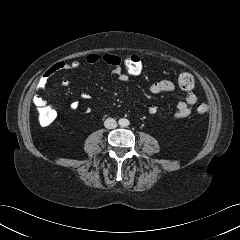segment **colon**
Returning <instances> with one entry per match:
<instances>
[{"label": "colon", "instance_id": "obj_1", "mask_svg": "<svg viewBox=\"0 0 240 240\" xmlns=\"http://www.w3.org/2000/svg\"><path fill=\"white\" fill-rule=\"evenodd\" d=\"M104 60L110 63L113 67L120 69L127 76H137L143 72L144 64L138 55H129L126 57L106 56ZM178 86L183 90H191L195 86V77L189 72H185L178 77ZM38 120L42 126H48L56 119V111L46 104H40L37 107ZM196 111L204 114L208 111L206 103H199L196 106Z\"/></svg>", "mask_w": 240, "mask_h": 240}]
</instances>
